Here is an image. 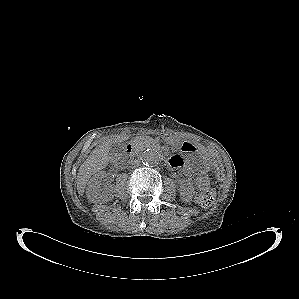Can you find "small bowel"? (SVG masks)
<instances>
[{
  "mask_svg": "<svg viewBox=\"0 0 299 299\" xmlns=\"http://www.w3.org/2000/svg\"><path fill=\"white\" fill-rule=\"evenodd\" d=\"M169 164H170V166H172L174 168H180L183 166V160L180 156L176 155V156H173L172 158H170ZM186 173H187V175L190 174L188 171Z\"/></svg>",
  "mask_w": 299,
  "mask_h": 299,
  "instance_id": "c3829d8e",
  "label": "small bowel"
}]
</instances>
